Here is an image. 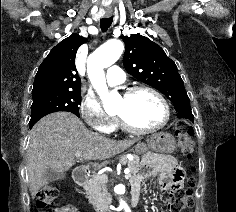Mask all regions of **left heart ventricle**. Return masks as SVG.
<instances>
[{"label":"left heart ventricle","mask_w":236,"mask_h":212,"mask_svg":"<svg viewBox=\"0 0 236 212\" xmlns=\"http://www.w3.org/2000/svg\"><path fill=\"white\" fill-rule=\"evenodd\" d=\"M116 114L124 116L139 128L155 127L165 115L162 103L147 91H139L130 97L122 96L117 102Z\"/></svg>","instance_id":"left-heart-ventricle-1"}]
</instances>
